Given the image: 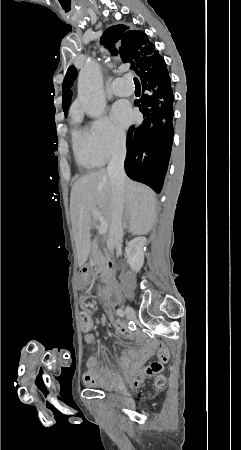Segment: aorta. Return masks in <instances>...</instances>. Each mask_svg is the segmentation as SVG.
I'll return each instance as SVG.
<instances>
[{
    "label": "aorta",
    "mask_w": 241,
    "mask_h": 450,
    "mask_svg": "<svg viewBox=\"0 0 241 450\" xmlns=\"http://www.w3.org/2000/svg\"><path fill=\"white\" fill-rule=\"evenodd\" d=\"M78 98L88 116L98 118L103 114L106 101L102 74L99 65L94 61H87L79 73Z\"/></svg>",
    "instance_id": "aorta-1"
}]
</instances>
